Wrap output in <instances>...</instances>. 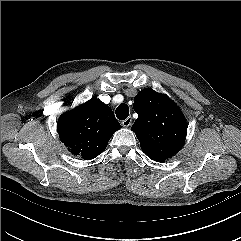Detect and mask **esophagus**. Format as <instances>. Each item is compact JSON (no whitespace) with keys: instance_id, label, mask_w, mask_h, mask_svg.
I'll list each match as a JSON object with an SVG mask.
<instances>
[{"instance_id":"1","label":"esophagus","mask_w":241,"mask_h":241,"mask_svg":"<svg viewBox=\"0 0 241 241\" xmlns=\"http://www.w3.org/2000/svg\"><path fill=\"white\" fill-rule=\"evenodd\" d=\"M131 123H132V118L131 117H128V118H126L125 120H123L122 122H121V125L123 126V127H129L130 125H131Z\"/></svg>"}]
</instances>
